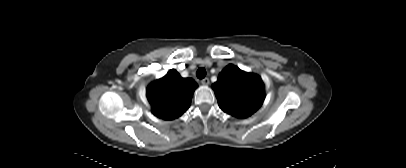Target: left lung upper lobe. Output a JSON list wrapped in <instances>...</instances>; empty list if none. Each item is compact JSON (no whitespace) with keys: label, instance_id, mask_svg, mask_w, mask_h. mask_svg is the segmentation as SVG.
Segmentation results:
<instances>
[{"label":"left lung upper lobe","instance_id":"1","mask_svg":"<svg viewBox=\"0 0 406 168\" xmlns=\"http://www.w3.org/2000/svg\"><path fill=\"white\" fill-rule=\"evenodd\" d=\"M220 108L238 118H246L262 105L264 84L261 78L230 64L212 85Z\"/></svg>","mask_w":406,"mask_h":168}]
</instances>
